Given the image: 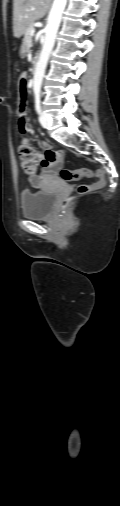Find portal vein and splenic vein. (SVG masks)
Masks as SVG:
<instances>
[{
    "label": "portal vein and splenic vein",
    "instance_id": "18ae733b",
    "mask_svg": "<svg viewBox=\"0 0 120 506\" xmlns=\"http://www.w3.org/2000/svg\"><path fill=\"white\" fill-rule=\"evenodd\" d=\"M29 10H31V11H32V10H35V8H34V7H31ZM34 33H35V30H34V29H32V30L30 31V35H31V36H33V35H34Z\"/></svg>",
    "mask_w": 120,
    "mask_h": 506
}]
</instances>
